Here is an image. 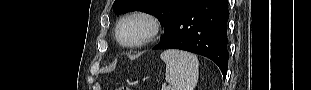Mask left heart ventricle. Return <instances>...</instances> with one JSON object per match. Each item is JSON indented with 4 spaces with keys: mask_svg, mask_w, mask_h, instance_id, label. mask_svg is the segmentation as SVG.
I'll return each mask as SVG.
<instances>
[{
    "mask_svg": "<svg viewBox=\"0 0 311 90\" xmlns=\"http://www.w3.org/2000/svg\"><path fill=\"white\" fill-rule=\"evenodd\" d=\"M145 29L142 22L132 21L122 27L120 34L124 40H135L144 34Z\"/></svg>",
    "mask_w": 311,
    "mask_h": 90,
    "instance_id": "obj_1",
    "label": "left heart ventricle"
}]
</instances>
